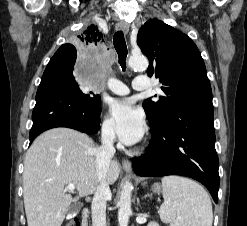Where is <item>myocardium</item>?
Instances as JSON below:
<instances>
[{
    "instance_id": "f54148a6",
    "label": "myocardium",
    "mask_w": 247,
    "mask_h": 226,
    "mask_svg": "<svg viewBox=\"0 0 247 226\" xmlns=\"http://www.w3.org/2000/svg\"><path fill=\"white\" fill-rule=\"evenodd\" d=\"M145 147H146V144H143L140 146L139 150H143V149H145Z\"/></svg>"
}]
</instances>
